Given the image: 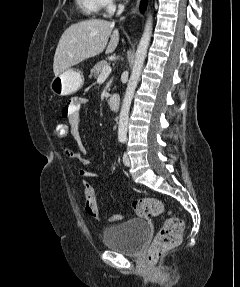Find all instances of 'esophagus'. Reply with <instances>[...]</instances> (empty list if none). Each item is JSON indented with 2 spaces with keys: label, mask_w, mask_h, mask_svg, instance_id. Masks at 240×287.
I'll use <instances>...</instances> for the list:
<instances>
[{
  "label": "esophagus",
  "mask_w": 240,
  "mask_h": 287,
  "mask_svg": "<svg viewBox=\"0 0 240 287\" xmlns=\"http://www.w3.org/2000/svg\"><path fill=\"white\" fill-rule=\"evenodd\" d=\"M138 5H139V0H138L137 3H136V10H137Z\"/></svg>",
  "instance_id": "1"
}]
</instances>
